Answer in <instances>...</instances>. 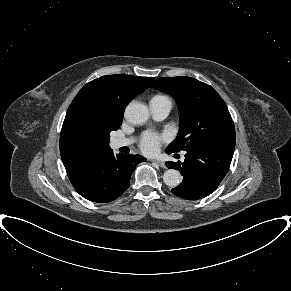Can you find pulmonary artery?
Masks as SVG:
<instances>
[{"instance_id": "obj_1", "label": "pulmonary artery", "mask_w": 291, "mask_h": 291, "mask_svg": "<svg viewBox=\"0 0 291 291\" xmlns=\"http://www.w3.org/2000/svg\"><path fill=\"white\" fill-rule=\"evenodd\" d=\"M150 111L152 116L156 120H162L168 116L172 108V102L165 96H155L149 103ZM133 139L131 138H117L113 140L112 147L118 149L124 146L132 144Z\"/></svg>"}]
</instances>
